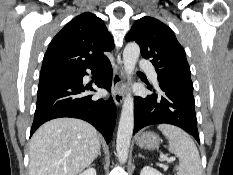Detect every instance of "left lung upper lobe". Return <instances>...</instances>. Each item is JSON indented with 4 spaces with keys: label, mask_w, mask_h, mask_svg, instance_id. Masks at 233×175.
Here are the masks:
<instances>
[{
    "label": "left lung upper lobe",
    "mask_w": 233,
    "mask_h": 175,
    "mask_svg": "<svg viewBox=\"0 0 233 175\" xmlns=\"http://www.w3.org/2000/svg\"><path fill=\"white\" fill-rule=\"evenodd\" d=\"M126 41L137 42L142 57L151 59L159 83L193 87L185 51L174 32L164 23L152 17H142L133 24Z\"/></svg>",
    "instance_id": "left-lung-upper-lobe-1"
}]
</instances>
